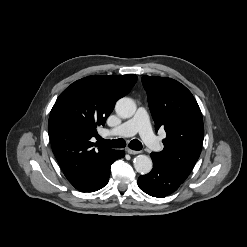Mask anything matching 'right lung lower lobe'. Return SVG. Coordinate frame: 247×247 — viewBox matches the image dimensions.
<instances>
[{
    "instance_id": "obj_1",
    "label": "right lung lower lobe",
    "mask_w": 247,
    "mask_h": 247,
    "mask_svg": "<svg viewBox=\"0 0 247 247\" xmlns=\"http://www.w3.org/2000/svg\"><path fill=\"white\" fill-rule=\"evenodd\" d=\"M125 153L122 150H116L114 155L112 156L111 161L109 162L108 167L106 168L105 172L103 175L92 185H90L88 188L81 190L83 192H94L97 191L101 188H103L109 181V176H110V166L111 164L118 158L124 157Z\"/></svg>"
}]
</instances>
